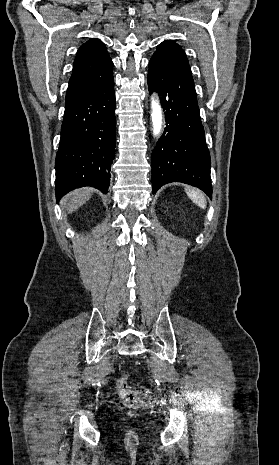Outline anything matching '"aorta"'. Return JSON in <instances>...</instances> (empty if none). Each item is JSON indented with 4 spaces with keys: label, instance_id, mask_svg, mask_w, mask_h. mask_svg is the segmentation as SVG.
I'll use <instances>...</instances> for the list:
<instances>
[{
    "label": "aorta",
    "instance_id": "obj_1",
    "mask_svg": "<svg viewBox=\"0 0 279 465\" xmlns=\"http://www.w3.org/2000/svg\"><path fill=\"white\" fill-rule=\"evenodd\" d=\"M151 118L153 124V134L155 136L159 135L162 129V109L158 102V100L152 98L151 99Z\"/></svg>",
    "mask_w": 279,
    "mask_h": 465
}]
</instances>
